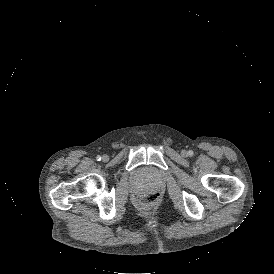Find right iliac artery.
<instances>
[{
    "instance_id": "right-iliac-artery-1",
    "label": "right iliac artery",
    "mask_w": 274,
    "mask_h": 274,
    "mask_svg": "<svg viewBox=\"0 0 274 274\" xmlns=\"http://www.w3.org/2000/svg\"><path fill=\"white\" fill-rule=\"evenodd\" d=\"M96 159H97V161H100V160H101V156L98 155V156L96 157Z\"/></svg>"
}]
</instances>
